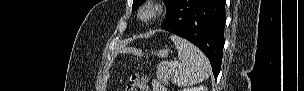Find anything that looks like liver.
Wrapping results in <instances>:
<instances>
[{
    "mask_svg": "<svg viewBox=\"0 0 304 91\" xmlns=\"http://www.w3.org/2000/svg\"><path fill=\"white\" fill-rule=\"evenodd\" d=\"M124 51L130 52V53H136V52H138L135 48H124Z\"/></svg>",
    "mask_w": 304,
    "mask_h": 91,
    "instance_id": "liver-1",
    "label": "liver"
}]
</instances>
